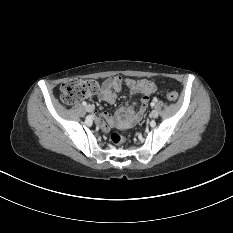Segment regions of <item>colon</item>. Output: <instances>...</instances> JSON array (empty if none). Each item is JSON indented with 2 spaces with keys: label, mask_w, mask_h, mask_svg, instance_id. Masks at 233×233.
<instances>
[{
  "label": "colon",
  "mask_w": 233,
  "mask_h": 233,
  "mask_svg": "<svg viewBox=\"0 0 233 233\" xmlns=\"http://www.w3.org/2000/svg\"><path fill=\"white\" fill-rule=\"evenodd\" d=\"M98 90V83L93 79H71L61 84V100L66 105H71L77 100L90 97ZM166 97L169 101H176L178 93L174 90L166 92ZM114 144H120L123 141L121 135L113 133L110 136Z\"/></svg>",
  "instance_id": "obj_1"
}]
</instances>
